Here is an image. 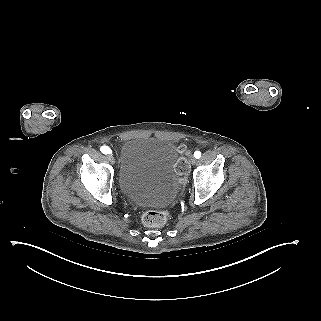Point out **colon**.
I'll use <instances>...</instances> for the list:
<instances>
[{
  "label": "colon",
  "instance_id": "5ec220e1",
  "mask_svg": "<svg viewBox=\"0 0 321 321\" xmlns=\"http://www.w3.org/2000/svg\"><path fill=\"white\" fill-rule=\"evenodd\" d=\"M181 151H184V148H180ZM178 173L181 176H185L189 170L188 163L184 156L180 157L177 164ZM168 219V213L164 210H151L146 211L142 214L141 220L143 224L150 227H158L163 225Z\"/></svg>",
  "mask_w": 321,
  "mask_h": 321
}]
</instances>
